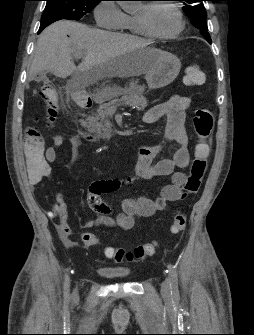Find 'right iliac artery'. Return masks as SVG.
Returning <instances> with one entry per match:
<instances>
[{"mask_svg":"<svg viewBox=\"0 0 254 335\" xmlns=\"http://www.w3.org/2000/svg\"><path fill=\"white\" fill-rule=\"evenodd\" d=\"M66 286L68 287L69 286V277H68V275L66 276Z\"/></svg>","mask_w":254,"mask_h":335,"instance_id":"obj_1","label":"right iliac artery"}]
</instances>
